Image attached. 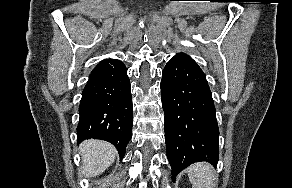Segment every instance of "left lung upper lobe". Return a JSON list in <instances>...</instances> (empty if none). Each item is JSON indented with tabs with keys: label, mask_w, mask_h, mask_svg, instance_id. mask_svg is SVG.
<instances>
[{
	"label": "left lung upper lobe",
	"mask_w": 292,
	"mask_h": 188,
	"mask_svg": "<svg viewBox=\"0 0 292 188\" xmlns=\"http://www.w3.org/2000/svg\"><path fill=\"white\" fill-rule=\"evenodd\" d=\"M178 55L183 56V57H185V58H188V59L194 61L191 57H189V56L186 55V54L180 53V54H178ZM194 62H195V61H194Z\"/></svg>",
	"instance_id": "left-lung-upper-lobe-1"
}]
</instances>
